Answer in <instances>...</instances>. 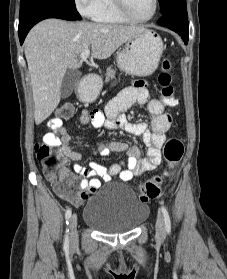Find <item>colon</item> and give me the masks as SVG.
Listing matches in <instances>:
<instances>
[{
    "label": "colon",
    "mask_w": 227,
    "mask_h": 279,
    "mask_svg": "<svg viewBox=\"0 0 227 279\" xmlns=\"http://www.w3.org/2000/svg\"><path fill=\"white\" fill-rule=\"evenodd\" d=\"M172 68L169 60L162 62V72L158 76V84L160 93L166 105L174 107L178 104V99L175 95L172 76L170 70ZM75 111V107L71 104H65L60 107L59 118L69 119ZM55 119V121H60ZM58 137L56 132H52L45 137L43 143L35 145L34 152L36 159L40 162L47 179L53 184L55 190L71 201H77L84 198L83 194L79 193L76 180L58 181L56 179L57 170L66 163V158L58 148ZM184 153V143L179 137H171L166 142L164 147V158L167 164L171 167L177 165ZM162 178L155 176L148 179L139 188V198L142 202H148L152 199L159 198L162 193L161 189Z\"/></svg>",
    "instance_id": "5ec220e1"
}]
</instances>
